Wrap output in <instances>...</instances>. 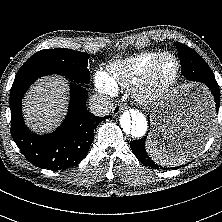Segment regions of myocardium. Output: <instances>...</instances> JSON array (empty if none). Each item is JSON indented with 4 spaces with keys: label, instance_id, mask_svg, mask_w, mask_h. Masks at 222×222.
I'll list each match as a JSON object with an SVG mask.
<instances>
[{
    "label": "myocardium",
    "instance_id": "1",
    "mask_svg": "<svg viewBox=\"0 0 222 222\" xmlns=\"http://www.w3.org/2000/svg\"><path fill=\"white\" fill-rule=\"evenodd\" d=\"M164 58H172L175 61V71L166 81L157 83L155 81V69ZM181 73V63L178 57L169 52L159 54L145 69L142 76L133 86L136 99L143 104H152L161 99L175 85Z\"/></svg>",
    "mask_w": 222,
    "mask_h": 222
}]
</instances>
